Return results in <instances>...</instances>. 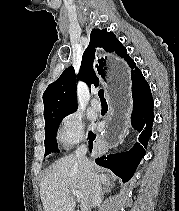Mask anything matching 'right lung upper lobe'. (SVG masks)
<instances>
[{
	"instance_id": "1",
	"label": "right lung upper lobe",
	"mask_w": 179,
	"mask_h": 211,
	"mask_svg": "<svg viewBox=\"0 0 179 211\" xmlns=\"http://www.w3.org/2000/svg\"><path fill=\"white\" fill-rule=\"evenodd\" d=\"M115 52L124 58L130 66L131 74L137 69L134 61L127 54L126 48L107 29H93L90 34V43L83 53L79 78L89 86H97L99 80L107 81L109 68L107 56H101L102 50ZM45 123L53 117L74 112L77 109L76 75L70 66L61 76L43 93Z\"/></svg>"
}]
</instances>
